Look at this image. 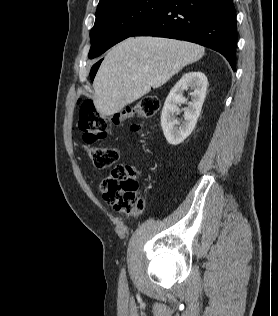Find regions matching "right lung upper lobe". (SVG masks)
<instances>
[{"instance_id":"cb5924a9","label":"right lung upper lobe","mask_w":278,"mask_h":316,"mask_svg":"<svg viewBox=\"0 0 278 316\" xmlns=\"http://www.w3.org/2000/svg\"><path fill=\"white\" fill-rule=\"evenodd\" d=\"M104 1H107V0H100L99 4L102 3V2H104Z\"/></svg>"}]
</instances>
